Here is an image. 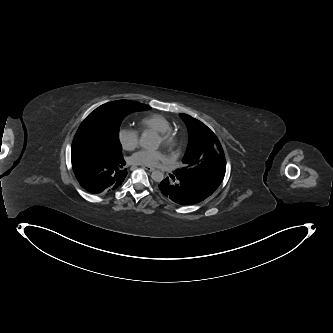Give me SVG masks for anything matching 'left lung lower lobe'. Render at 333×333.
<instances>
[{
  "label": "left lung lower lobe",
  "instance_id": "left-lung-lower-lobe-1",
  "mask_svg": "<svg viewBox=\"0 0 333 333\" xmlns=\"http://www.w3.org/2000/svg\"><path fill=\"white\" fill-rule=\"evenodd\" d=\"M159 190L163 196L180 205L200 203L211 195L196 183L181 177L176 172L160 182Z\"/></svg>",
  "mask_w": 333,
  "mask_h": 333
}]
</instances>
